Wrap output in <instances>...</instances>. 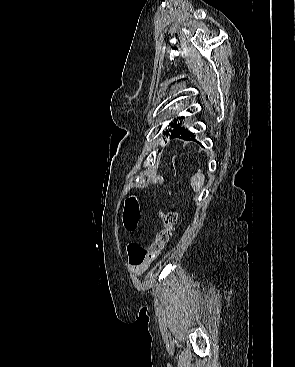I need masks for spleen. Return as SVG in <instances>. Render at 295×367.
Instances as JSON below:
<instances>
[{
	"mask_svg": "<svg viewBox=\"0 0 295 367\" xmlns=\"http://www.w3.org/2000/svg\"><path fill=\"white\" fill-rule=\"evenodd\" d=\"M205 177L202 171L199 169L198 172L191 178V186L194 191L198 192L204 184Z\"/></svg>",
	"mask_w": 295,
	"mask_h": 367,
	"instance_id": "spleen-1",
	"label": "spleen"
}]
</instances>
